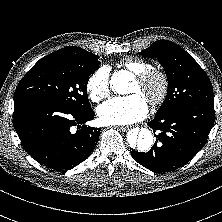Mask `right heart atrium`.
Listing matches in <instances>:
<instances>
[{
  "label": "right heart atrium",
  "instance_id": "obj_1",
  "mask_svg": "<svg viewBox=\"0 0 222 222\" xmlns=\"http://www.w3.org/2000/svg\"><path fill=\"white\" fill-rule=\"evenodd\" d=\"M86 89L93 102H100L110 95V72L106 66L98 68L89 77Z\"/></svg>",
  "mask_w": 222,
  "mask_h": 222
}]
</instances>
